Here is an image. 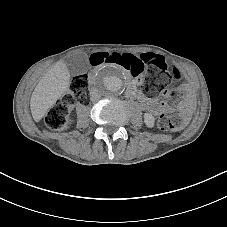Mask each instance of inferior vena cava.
Returning <instances> with one entry per match:
<instances>
[{"instance_id": "1", "label": "inferior vena cava", "mask_w": 227, "mask_h": 227, "mask_svg": "<svg viewBox=\"0 0 227 227\" xmlns=\"http://www.w3.org/2000/svg\"><path fill=\"white\" fill-rule=\"evenodd\" d=\"M99 98H100V95H99L97 89H94V88L91 89V90H90V100H91L92 102H96V101L99 100Z\"/></svg>"}]
</instances>
